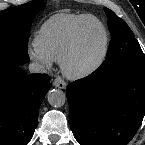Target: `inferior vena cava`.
Here are the masks:
<instances>
[{
  "label": "inferior vena cava",
  "instance_id": "602c4592",
  "mask_svg": "<svg viewBox=\"0 0 145 145\" xmlns=\"http://www.w3.org/2000/svg\"><path fill=\"white\" fill-rule=\"evenodd\" d=\"M29 71L31 73H45V68L38 62H33L29 64Z\"/></svg>",
  "mask_w": 145,
  "mask_h": 145
}]
</instances>
